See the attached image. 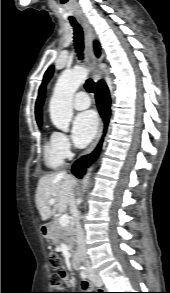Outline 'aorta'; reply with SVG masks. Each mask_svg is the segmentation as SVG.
Here are the masks:
<instances>
[{
  "label": "aorta",
  "instance_id": "aorta-1",
  "mask_svg": "<svg viewBox=\"0 0 170 293\" xmlns=\"http://www.w3.org/2000/svg\"><path fill=\"white\" fill-rule=\"evenodd\" d=\"M89 70L86 68H76L64 72L58 79L49 110L50 118L55 127L63 132L69 131L70 122L73 116L72 98L80 85L86 80ZM91 170L89 169L83 179V189L89 184Z\"/></svg>",
  "mask_w": 170,
  "mask_h": 293
}]
</instances>
